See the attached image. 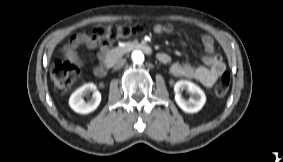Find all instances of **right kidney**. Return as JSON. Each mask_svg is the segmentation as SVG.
<instances>
[{
  "mask_svg": "<svg viewBox=\"0 0 283 162\" xmlns=\"http://www.w3.org/2000/svg\"><path fill=\"white\" fill-rule=\"evenodd\" d=\"M93 92L92 98L84 101V97ZM101 102V94L93 83H87L72 93L69 99L70 107L77 113L88 114L94 111Z\"/></svg>",
  "mask_w": 283,
  "mask_h": 162,
  "instance_id": "obj_1",
  "label": "right kidney"
}]
</instances>
